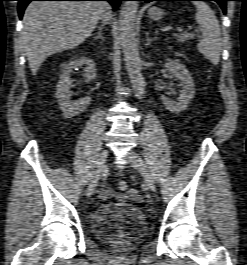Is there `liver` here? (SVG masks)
Here are the masks:
<instances>
[{
	"label": "liver",
	"mask_w": 247,
	"mask_h": 265,
	"mask_svg": "<svg viewBox=\"0 0 247 265\" xmlns=\"http://www.w3.org/2000/svg\"><path fill=\"white\" fill-rule=\"evenodd\" d=\"M106 12L102 2H31L23 16L22 42L32 74L47 57L82 44Z\"/></svg>",
	"instance_id": "1"
}]
</instances>
